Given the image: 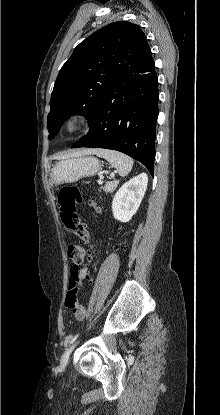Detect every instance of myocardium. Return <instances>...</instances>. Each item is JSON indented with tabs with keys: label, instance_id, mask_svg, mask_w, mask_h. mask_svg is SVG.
Wrapping results in <instances>:
<instances>
[{
	"label": "myocardium",
	"instance_id": "1",
	"mask_svg": "<svg viewBox=\"0 0 220 415\" xmlns=\"http://www.w3.org/2000/svg\"><path fill=\"white\" fill-rule=\"evenodd\" d=\"M88 124V120L79 114L65 117L60 124V132L67 137H72L82 132Z\"/></svg>",
	"mask_w": 220,
	"mask_h": 415
}]
</instances>
